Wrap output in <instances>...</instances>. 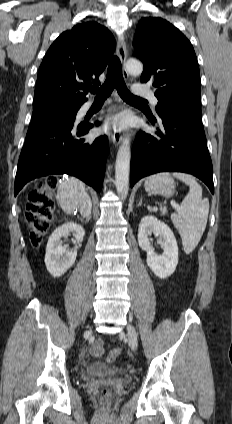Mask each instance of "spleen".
I'll list each match as a JSON object with an SVG mask.
<instances>
[{"instance_id":"3e777b00","label":"spleen","mask_w":232,"mask_h":424,"mask_svg":"<svg viewBox=\"0 0 232 424\" xmlns=\"http://www.w3.org/2000/svg\"><path fill=\"white\" fill-rule=\"evenodd\" d=\"M173 176L189 186V192L180 209L171 215V220L182 238L184 251L189 254L198 245L206 228L209 200L202 199V187L193 176L185 173H173ZM160 211L166 214L167 208L161 206Z\"/></svg>"}]
</instances>
